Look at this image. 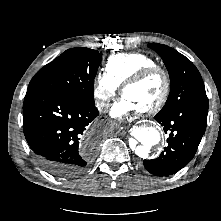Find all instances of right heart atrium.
<instances>
[{
  "label": "right heart atrium",
  "mask_w": 221,
  "mask_h": 221,
  "mask_svg": "<svg viewBox=\"0 0 221 221\" xmlns=\"http://www.w3.org/2000/svg\"><path fill=\"white\" fill-rule=\"evenodd\" d=\"M119 89L120 85L107 72H99L96 75L93 93L96 106L100 111L108 109Z\"/></svg>",
  "instance_id": "obj_1"
}]
</instances>
